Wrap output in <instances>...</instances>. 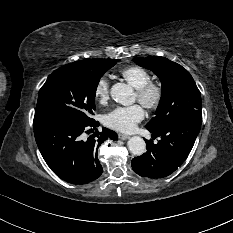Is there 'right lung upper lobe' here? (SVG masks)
Wrapping results in <instances>:
<instances>
[{"instance_id":"cb5924a9","label":"right lung upper lobe","mask_w":233,"mask_h":233,"mask_svg":"<svg viewBox=\"0 0 233 233\" xmlns=\"http://www.w3.org/2000/svg\"><path fill=\"white\" fill-rule=\"evenodd\" d=\"M96 60L97 59L82 60V61L74 62L72 64H74V65H80V66H85V65L93 64L94 62H96Z\"/></svg>"}]
</instances>
